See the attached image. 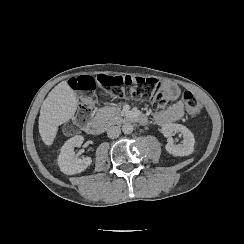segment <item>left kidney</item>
Returning <instances> with one entry per match:
<instances>
[{
  "label": "left kidney",
  "mask_w": 244,
  "mask_h": 244,
  "mask_svg": "<svg viewBox=\"0 0 244 244\" xmlns=\"http://www.w3.org/2000/svg\"><path fill=\"white\" fill-rule=\"evenodd\" d=\"M162 132L165 137H170L174 132L181 133L183 136L182 144H175L171 140L165 145V150L168 154L176 157L189 156L195 150V138L192 132L180 124H168L162 127Z\"/></svg>",
  "instance_id": "left-kidney-1"
}]
</instances>
